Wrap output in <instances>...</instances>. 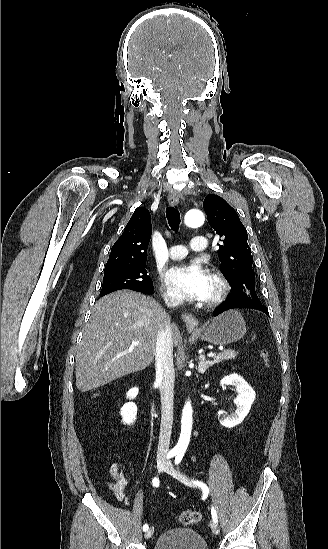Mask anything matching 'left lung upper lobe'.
<instances>
[{
	"label": "left lung upper lobe",
	"instance_id": "left-lung-upper-lobe-1",
	"mask_svg": "<svg viewBox=\"0 0 328 549\" xmlns=\"http://www.w3.org/2000/svg\"><path fill=\"white\" fill-rule=\"evenodd\" d=\"M203 207L210 226L221 237L222 245L218 250L220 271L231 286L230 299L259 300L248 235L238 214L217 195L206 196Z\"/></svg>",
	"mask_w": 328,
	"mask_h": 549
}]
</instances>
